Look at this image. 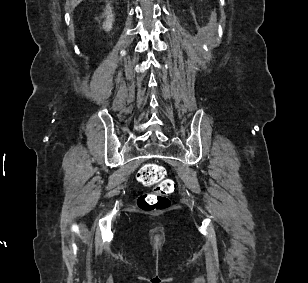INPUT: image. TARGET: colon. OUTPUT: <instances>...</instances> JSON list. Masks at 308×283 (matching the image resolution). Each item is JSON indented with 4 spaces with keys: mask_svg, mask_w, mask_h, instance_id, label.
I'll use <instances>...</instances> for the list:
<instances>
[{
    "mask_svg": "<svg viewBox=\"0 0 308 283\" xmlns=\"http://www.w3.org/2000/svg\"><path fill=\"white\" fill-rule=\"evenodd\" d=\"M138 182L146 187L153 186V192L142 195L138 206L145 211L163 210L169 205V196L175 190L173 180L166 177L164 167L148 163L143 165L137 173Z\"/></svg>",
    "mask_w": 308,
    "mask_h": 283,
    "instance_id": "obj_1",
    "label": "colon"
}]
</instances>
